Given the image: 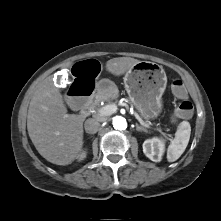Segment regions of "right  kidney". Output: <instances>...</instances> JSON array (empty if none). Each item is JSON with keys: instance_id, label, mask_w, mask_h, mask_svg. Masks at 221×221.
Listing matches in <instances>:
<instances>
[{"instance_id": "ca27d5eb", "label": "right kidney", "mask_w": 221, "mask_h": 221, "mask_svg": "<svg viewBox=\"0 0 221 221\" xmlns=\"http://www.w3.org/2000/svg\"><path fill=\"white\" fill-rule=\"evenodd\" d=\"M86 157V152H82L80 155H79V159L82 160Z\"/></svg>"}]
</instances>
